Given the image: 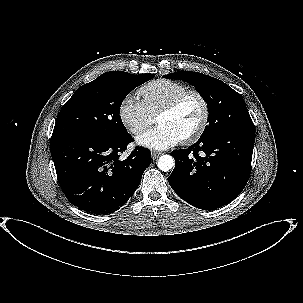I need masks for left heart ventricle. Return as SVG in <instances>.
Returning a JSON list of instances; mask_svg holds the SVG:
<instances>
[{"label":"left heart ventricle","instance_id":"left-heart-ventricle-1","mask_svg":"<svg viewBox=\"0 0 303 303\" xmlns=\"http://www.w3.org/2000/svg\"><path fill=\"white\" fill-rule=\"evenodd\" d=\"M202 115V106L195 96L187 97L173 112L156 118L158 124H165L177 132L181 139L194 131Z\"/></svg>","mask_w":303,"mask_h":303}]
</instances>
